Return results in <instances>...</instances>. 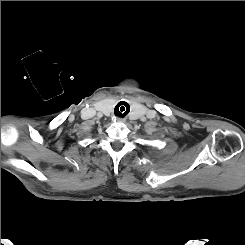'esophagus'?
<instances>
[{
  "instance_id": "esophagus-1",
  "label": "esophagus",
  "mask_w": 245,
  "mask_h": 245,
  "mask_svg": "<svg viewBox=\"0 0 245 245\" xmlns=\"http://www.w3.org/2000/svg\"><path fill=\"white\" fill-rule=\"evenodd\" d=\"M118 120H121V121H123V119H121V118H118Z\"/></svg>"
}]
</instances>
